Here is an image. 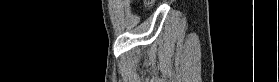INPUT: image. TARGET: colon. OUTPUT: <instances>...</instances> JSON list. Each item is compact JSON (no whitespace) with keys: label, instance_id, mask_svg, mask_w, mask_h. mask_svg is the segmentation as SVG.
Segmentation results:
<instances>
[{"label":"colon","instance_id":"obj_1","mask_svg":"<svg viewBox=\"0 0 279 82\" xmlns=\"http://www.w3.org/2000/svg\"><path fill=\"white\" fill-rule=\"evenodd\" d=\"M141 2H143L146 5H150L152 3V1H150V0H143Z\"/></svg>","mask_w":279,"mask_h":82}]
</instances>
